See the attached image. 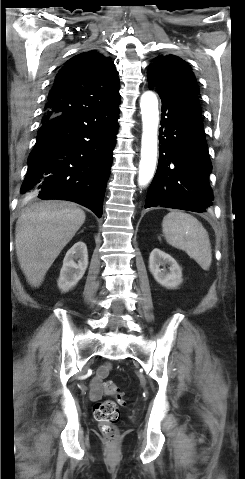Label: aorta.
<instances>
[{"instance_id": "1", "label": "aorta", "mask_w": 245, "mask_h": 479, "mask_svg": "<svg viewBox=\"0 0 245 479\" xmlns=\"http://www.w3.org/2000/svg\"><path fill=\"white\" fill-rule=\"evenodd\" d=\"M143 133L141 140V160L139 164L138 183L146 186L151 180L157 161V129L159 123L158 100L154 93L148 91L141 96Z\"/></svg>"}]
</instances>
